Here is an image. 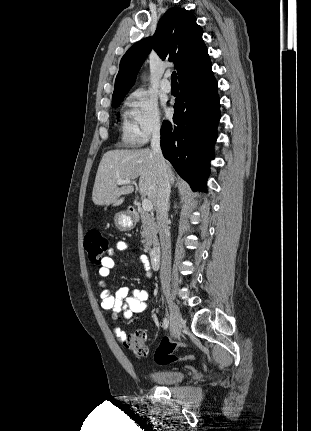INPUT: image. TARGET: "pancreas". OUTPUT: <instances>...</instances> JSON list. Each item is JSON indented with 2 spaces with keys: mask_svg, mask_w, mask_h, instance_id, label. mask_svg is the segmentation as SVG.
Masks as SVG:
<instances>
[{
  "mask_svg": "<svg viewBox=\"0 0 311 431\" xmlns=\"http://www.w3.org/2000/svg\"><path fill=\"white\" fill-rule=\"evenodd\" d=\"M139 216L141 217L142 223V243L144 249H150L151 245H157V223L155 217L149 212H144V210H139Z\"/></svg>",
  "mask_w": 311,
  "mask_h": 431,
  "instance_id": "cf45deb5",
  "label": "pancreas"
}]
</instances>
